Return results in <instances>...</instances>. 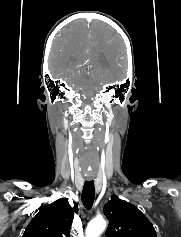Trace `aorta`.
Instances as JSON below:
<instances>
[{
    "label": "aorta",
    "mask_w": 181,
    "mask_h": 237,
    "mask_svg": "<svg viewBox=\"0 0 181 237\" xmlns=\"http://www.w3.org/2000/svg\"><path fill=\"white\" fill-rule=\"evenodd\" d=\"M106 228V221L103 217H96L91 220L86 228V237H99Z\"/></svg>",
    "instance_id": "aorta-1"
}]
</instances>
